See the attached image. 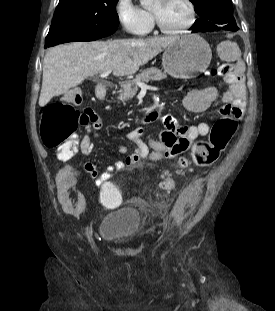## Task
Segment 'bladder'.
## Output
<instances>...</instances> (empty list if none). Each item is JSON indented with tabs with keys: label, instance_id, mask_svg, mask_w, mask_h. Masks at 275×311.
<instances>
[{
	"label": "bladder",
	"instance_id": "31cf9c89",
	"mask_svg": "<svg viewBox=\"0 0 275 311\" xmlns=\"http://www.w3.org/2000/svg\"><path fill=\"white\" fill-rule=\"evenodd\" d=\"M140 229L141 217L137 210L117 209L102 218L99 236L117 244H124L134 239Z\"/></svg>",
	"mask_w": 275,
	"mask_h": 311
}]
</instances>
